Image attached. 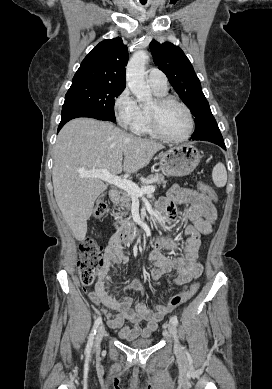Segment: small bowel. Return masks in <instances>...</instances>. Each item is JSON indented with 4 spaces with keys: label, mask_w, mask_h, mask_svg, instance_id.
Returning a JSON list of instances; mask_svg holds the SVG:
<instances>
[{
    "label": "small bowel",
    "mask_w": 272,
    "mask_h": 389,
    "mask_svg": "<svg viewBox=\"0 0 272 389\" xmlns=\"http://www.w3.org/2000/svg\"><path fill=\"white\" fill-rule=\"evenodd\" d=\"M183 205L186 206L181 207ZM157 209L169 224H176L181 217L187 220V224L184 227L185 241L181 248L171 237H161L156 242L149 256L153 268L152 279L156 282L174 271L173 283L185 288L203 271L199 260L201 236L212 232L217 218L215 207L205 194L173 185L167 195L157 202ZM161 248L173 251L177 257L169 258L163 255ZM127 260L128 252L113 238L105 249L104 264L88 296L93 303L102 308L111 329L119 330V335L123 339L134 340L138 337H149L172 309L162 304L150 309L144 303L135 304L131 298L116 297L112 294L110 274L116 265L124 264ZM123 288L144 291L143 283L138 280L127 282Z\"/></svg>",
    "instance_id": "c3829d8e"
}]
</instances>
